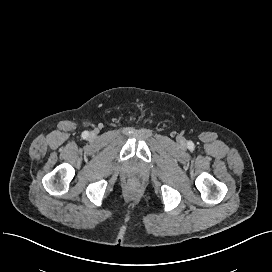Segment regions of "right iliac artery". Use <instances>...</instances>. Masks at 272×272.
I'll return each instance as SVG.
<instances>
[{"label":"right iliac artery","mask_w":272,"mask_h":272,"mask_svg":"<svg viewBox=\"0 0 272 272\" xmlns=\"http://www.w3.org/2000/svg\"><path fill=\"white\" fill-rule=\"evenodd\" d=\"M84 138H86L87 136H88V132L87 131H85L84 133H83V135H82Z\"/></svg>","instance_id":"right-iliac-artery-1"}]
</instances>
